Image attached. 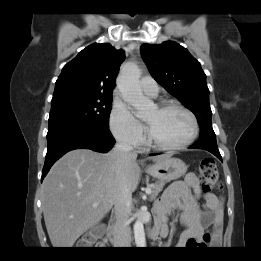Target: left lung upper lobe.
Returning a JSON list of instances; mask_svg holds the SVG:
<instances>
[{"mask_svg": "<svg viewBox=\"0 0 261 261\" xmlns=\"http://www.w3.org/2000/svg\"><path fill=\"white\" fill-rule=\"evenodd\" d=\"M142 58L152 77L196 116L200 137H216L211 123L209 89L200 63L173 41L143 44Z\"/></svg>", "mask_w": 261, "mask_h": 261, "instance_id": "left-lung-upper-lobe-1", "label": "left lung upper lobe"}]
</instances>
